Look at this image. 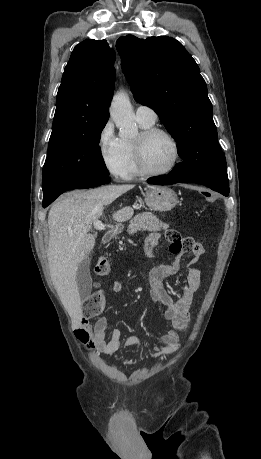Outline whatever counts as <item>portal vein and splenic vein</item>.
<instances>
[{
  "label": "portal vein and splenic vein",
  "mask_w": 261,
  "mask_h": 459,
  "mask_svg": "<svg viewBox=\"0 0 261 459\" xmlns=\"http://www.w3.org/2000/svg\"><path fill=\"white\" fill-rule=\"evenodd\" d=\"M93 227H94V229L99 230V231L106 229V225L103 224L102 221H100L98 219L94 220Z\"/></svg>",
  "instance_id": "18ae733b"
}]
</instances>
